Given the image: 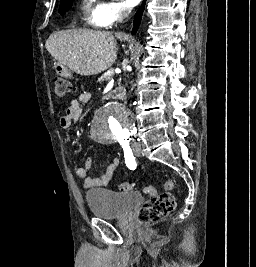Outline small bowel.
I'll return each mask as SVG.
<instances>
[{"label": "small bowel", "mask_w": 256, "mask_h": 267, "mask_svg": "<svg viewBox=\"0 0 256 267\" xmlns=\"http://www.w3.org/2000/svg\"><path fill=\"white\" fill-rule=\"evenodd\" d=\"M91 99V93L84 91L79 94L78 99L72 100L65 114L60 119V125L63 128L70 127L74 121H76L82 113V104L89 102ZM120 165L118 158H113L107 165L103 174L98 178H92L89 176V172L92 168V160L87 157L84 161V165L75 168V174L80 179L85 188L92 187H106L111 181L115 171Z\"/></svg>", "instance_id": "obj_1"}]
</instances>
